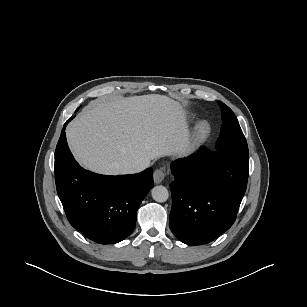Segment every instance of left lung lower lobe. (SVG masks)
Masks as SVG:
<instances>
[{"label":"left lung lower lobe","instance_id":"left-lung-lower-lobe-1","mask_svg":"<svg viewBox=\"0 0 307 307\" xmlns=\"http://www.w3.org/2000/svg\"><path fill=\"white\" fill-rule=\"evenodd\" d=\"M170 228L183 243L206 244L228 230L246 191L249 160L199 150L171 164Z\"/></svg>","mask_w":307,"mask_h":307}]
</instances>
